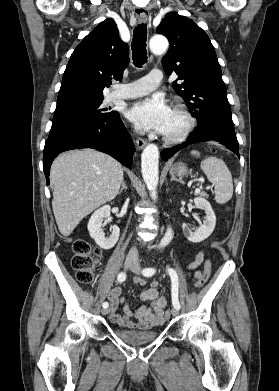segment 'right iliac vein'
I'll use <instances>...</instances> for the list:
<instances>
[{
	"mask_svg": "<svg viewBox=\"0 0 279 391\" xmlns=\"http://www.w3.org/2000/svg\"><path fill=\"white\" fill-rule=\"evenodd\" d=\"M135 264V258L133 256H127L124 261V268L129 269ZM110 312V308H103L101 313L107 315Z\"/></svg>",
	"mask_w": 279,
	"mask_h": 391,
	"instance_id": "obj_1",
	"label": "right iliac vein"
}]
</instances>
